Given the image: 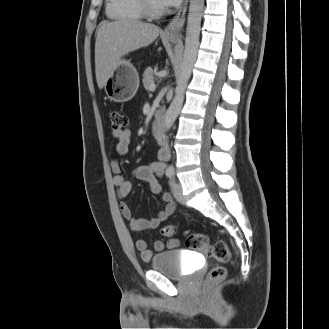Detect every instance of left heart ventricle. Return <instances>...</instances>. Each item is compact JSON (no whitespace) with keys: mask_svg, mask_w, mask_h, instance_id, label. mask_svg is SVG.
I'll return each instance as SVG.
<instances>
[{"mask_svg":"<svg viewBox=\"0 0 329 329\" xmlns=\"http://www.w3.org/2000/svg\"><path fill=\"white\" fill-rule=\"evenodd\" d=\"M151 1H152V4H153L155 7H157V8L165 7V6L162 4L161 0H151Z\"/></svg>","mask_w":329,"mask_h":329,"instance_id":"left-heart-ventricle-1","label":"left heart ventricle"}]
</instances>
